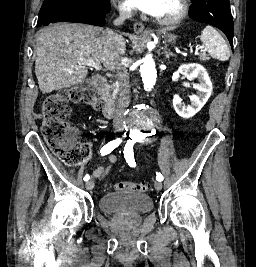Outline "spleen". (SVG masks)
<instances>
[{
    "label": "spleen",
    "instance_id": "1",
    "mask_svg": "<svg viewBox=\"0 0 256 267\" xmlns=\"http://www.w3.org/2000/svg\"><path fill=\"white\" fill-rule=\"evenodd\" d=\"M200 40L211 58L220 60V62L229 60L230 48H228L224 38L217 30H214L211 26H206L201 32Z\"/></svg>",
    "mask_w": 256,
    "mask_h": 267
}]
</instances>
